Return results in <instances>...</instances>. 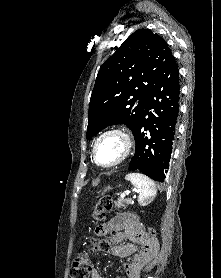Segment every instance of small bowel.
<instances>
[{
    "instance_id": "obj_1",
    "label": "small bowel",
    "mask_w": 221,
    "mask_h": 278,
    "mask_svg": "<svg viewBox=\"0 0 221 278\" xmlns=\"http://www.w3.org/2000/svg\"><path fill=\"white\" fill-rule=\"evenodd\" d=\"M109 227L115 232L109 253L118 257L131 256V260L123 264L126 278H140L142 268L157 253L156 239L147 234L134 215L118 214L109 222ZM91 278L105 277L92 269Z\"/></svg>"
}]
</instances>
